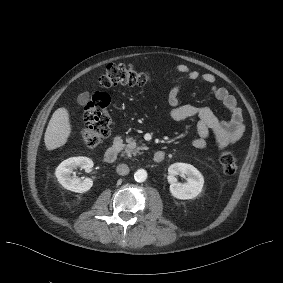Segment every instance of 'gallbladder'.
I'll use <instances>...</instances> for the list:
<instances>
[{"label": "gallbladder", "instance_id": "bac80fb5", "mask_svg": "<svg viewBox=\"0 0 283 283\" xmlns=\"http://www.w3.org/2000/svg\"><path fill=\"white\" fill-rule=\"evenodd\" d=\"M90 100V93L89 92H83L78 95L77 97V103L79 106L85 107Z\"/></svg>", "mask_w": 283, "mask_h": 283}]
</instances>
